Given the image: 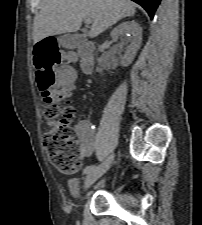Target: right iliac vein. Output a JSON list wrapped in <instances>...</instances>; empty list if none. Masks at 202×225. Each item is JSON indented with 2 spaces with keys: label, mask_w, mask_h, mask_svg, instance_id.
Segmentation results:
<instances>
[{
  "label": "right iliac vein",
  "mask_w": 202,
  "mask_h": 225,
  "mask_svg": "<svg viewBox=\"0 0 202 225\" xmlns=\"http://www.w3.org/2000/svg\"><path fill=\"white\" fill-rule=\"evenodd\" d=\"M114 160V154H110L109 157L98 167L90 171L84 181V187L87 189L93 183H95L106 171L110 168Z\"/></svg>",
  "instance_id": "1"
}]
</instances>
